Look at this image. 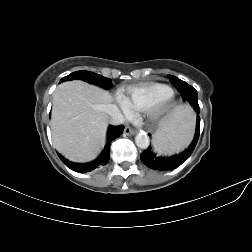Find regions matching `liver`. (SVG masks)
I'll return each instance as SVG.
<instances>
[{
  "mask_svg": "<svg viewBox=\"0 0 252 252\" xmlns=\"http://www.w3.org/2000/svg\"><path fill=\"white\" fill-rule=\"evenodd\" d=\"M111 95L101 88L73 80L53 93L51 133L55 148L74 162H88L105 145Z\"/></svg>",
  "mask_w": 252,
  "mask_h": 252,
  "instance_id": "obj_1",
  "label": "liver"
}]
</instances>
